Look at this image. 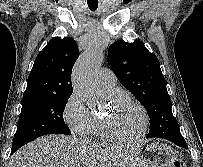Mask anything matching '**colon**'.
<instances>
[{"label":"colon","instance_id":"colon-1","mask_svg":"<svg viewBox=\"0 0 203 167\" xmlns=\"http://www.w3.org/2000/svg\"><path fill=\"white\" fill-rule=\"evenodd\" d=\"M156 162L157 167H181L177 160L165 153H159Z\"/></svg>","mask_w":203,"mask_h":167}]
</instances>
